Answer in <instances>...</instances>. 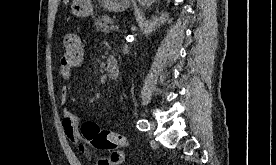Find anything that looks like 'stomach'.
<instances>
[{"label":"stomach","instance_id":"stomach-1","mask_svg":"<svg viewBox=\"0 0 276 165\" xmlns=\"http://www.w3.org/2000/svg\"><path fill=\"white\" fill-rule=\"evenodd\" d=\"M103 7L108 11L120 12L127 9L130 0H102ZM71 12L78 17H87L93 13L91 0H73Z\"/></svg>","mask_w":276,"mask_h":165}]
</instances>
